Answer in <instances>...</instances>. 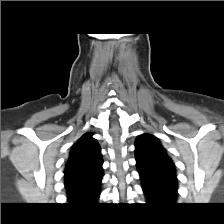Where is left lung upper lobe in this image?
Listing matches in <instances>:
<instances>
[{"label": "left lung upper lobe", "mask_w": 224, "mask_h": 224, "mask_svg": "<svg viewBox=\"0 0 224 224\" xmlns=\"http://www.w3.org/2000/svg\"><path fill=\"white\" fill-rule=\"evenodd\" d=\"M136 165L141 173L176 177L175 165L159 140L151 134H141L135 142Z\"/></svg>", "instance_id": "1"}]
</instances>
